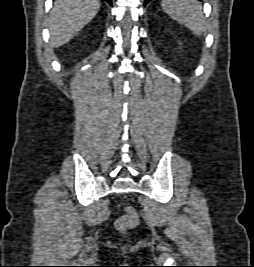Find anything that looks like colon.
<instances>
[{
	"mask_svg": "<svg viewBox=\"0 0 254 267\" xmlns=\"http://www.w3.org/2000/svg\"><path fill=\"white\" fill-rule=\"evenodd\" d=\"M138 223V214L135 209L127 206L125 213L116 222L118 230L125 231Z\"/></svg>",
	"mask_w": 254,
	"mask_h": 267,
	"instance_id": "obj_1",
	"label": "colon"
}]
</instances>
